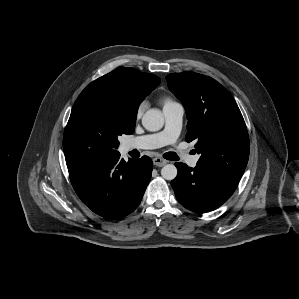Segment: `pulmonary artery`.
Returning <instances> with one entry per match:
<instances>
[{"label":"pulmonary artery","mask_w":299,"mask_h":299,"mask_svg":"<svg viewBox=\"0 0 299 299\" xmlns=\"http://www.w3.org/2000/svg\"><path fill=\"white\" fill-rule=\"evenodd\" d=\"M163 113L165 127L162 131L130 139L123 144V149H155L174 144L181 132L184 109L181 104L174 103L164 107ZM179 156L191 167H195L199 159L197 155H189L184 151H180Z\"/></svg>","instance_id":"e3ab8cb5"}]
</instances>
